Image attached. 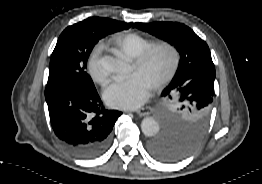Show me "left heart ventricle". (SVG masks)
Returning <instances> with one entry per match:
<instances>
[{"label": "left heart ventricle", "mask_w": 262, "mask_h": 184, "mask_svg": "<svg viewBox=\"0 0 262 184\" xmlns=\"http://www.w3.org/2000/svg\"><path fill=\"white\" fill-rule=\"evenodd\" d=\"M172 64V54L167 49H158L155 51L146 64L138 68L135 63L132 73H141L152 85L163 77Z\"/></svg>", "instance_id": "b2bd125f"}]
</instances>
